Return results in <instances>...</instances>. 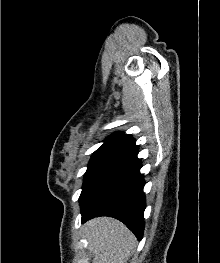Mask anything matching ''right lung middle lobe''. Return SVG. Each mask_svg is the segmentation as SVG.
Instances as JSON below:
<instances>
[{"mask_svg":"<svg viewBox=\"0 0 220 263\" xmlns=\"http://www.w3.org/2000/svg\"><path fill=\"white\" fill-rule=\"evenodd\" d=\"M116 154L106 152H95L89 162L88 169L85 173V179L82 187V193L86 191L92 180L97 176L99 171L107 164ZM80 196V197H81Z\"/></svg>","mask_w":220,"mask_h":263,"instance_id":"right-lung-middle-lobe-1","label":"right lung middle lobe"}]
</instances>
